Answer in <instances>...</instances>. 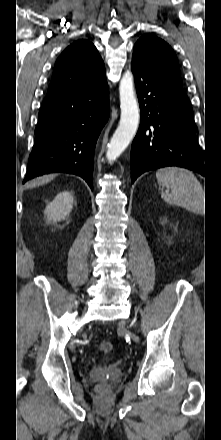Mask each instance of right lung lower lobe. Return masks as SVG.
I'll return each mask as SVG.
<instances>
[{"mask_svg":"<svg viewBox=\"0 0 221 440\" xmlns=\"http://www.w3.org/2000/svg\"><path fill=\"white\" fill-rule=\"evenodd\" d=\"M109 114L107 82L94 89L47 95L23 183L64 172L82 177L93 189L95 145Z\"/></svg>","mask_w":221,"mask_h":440,"instance_id":"98d812e1","label":"right lung lower lobe"}]
</instances>
